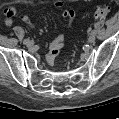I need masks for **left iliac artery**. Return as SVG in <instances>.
<instances>
[{"instance_id": "1", "label": "left iliac artery", "mask_w": 119, "mask_h": 119, "mask_svg": "<svg viewBox=\"0 0 119 119\" xmlns=\"http://www.w3.org/2000/svg\"><path fill=\"white\" fill-rule=\"evenodd\" d=\"M91 34H95V31L93 30V31L91 32Z\"/></svg>"}]
</instances>
